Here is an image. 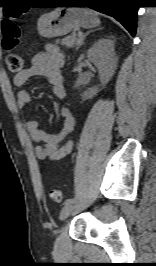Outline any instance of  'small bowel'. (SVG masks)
I'll use <instances>...</instances> for the list:
<instances>
[{
  "label": "small bowel",
  "instance_id": "small-bowel-1",
  "mask_svg": "<svg viewBox=\"0 0 156 266\" xmlns=\"http://www.w3.org/2000/svg\"><path fill=\"white\" fill-rule=\"evenodd\" d=\"M63 64L64 56L60 49L54 45H48L44 52L37 53L32 58L31 65L27 69L14 76V85L22 87L33 78L44 77L51 84L53 94L63 100L66 97L62 75ZM30 102V93L25 89L19 90L16 97L17 106L24 108ZM60 115L64 121L63 128L54 134L46 132L38 121L27 122L31 139L39 143L35 147V155L39 160H61L72 151L73 142L65 139L75 126V118L66 104L61 106Z\"/></svg>",
  "mask_w": 156,
  "mask_h": 266
}]
</instances>
